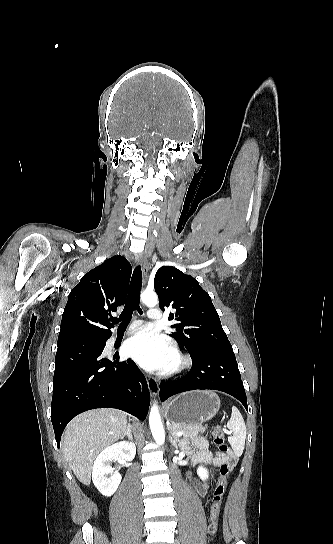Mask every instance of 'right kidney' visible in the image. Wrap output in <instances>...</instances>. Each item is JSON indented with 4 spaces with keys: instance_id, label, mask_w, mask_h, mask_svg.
Returning a JSON list of instances; mask_svg holds the SVG:
<instances>
[{
    "instance_id": "obj_1",
    "label": "right kidney",
    "mask_w": 333,
    "mask_h": 544,
    "mask_svg": "<svg viewBox=\"0 0 333 544\" xmlns=\"http://www.w3.org/2000/svg\"><path fill=\"white\" fill-rule=\"evenodd\" d=\"M136 447L132 442H119L105 448L95 459L92 471V481L99 492L104 496H111L117 490L120 482V473L112 468V461H131L135 457Z\"/></svg>"
}]
</instances>
